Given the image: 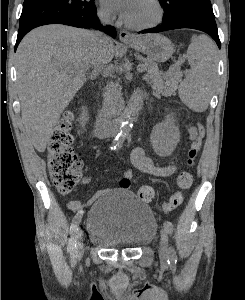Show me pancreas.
<instances>
[{"mask_svg": "<svg viewBox=\"0 0 245 300\" xmlns=\"http://www.w3.org/2000/svg\"><path fill=\"white\" fill-rule=\"evenodd\" d=\"M143 65L147 71L146 80L156 94L170 97L176 93L182 79V73L176 67L162 72L159 71L157 64L149 59L145 60ZM122 107L123 100L119 84H109L104 92V110L109 114H116Z\"/></svg>", "mask_w": 245, "mask_h": 300, "instance_id": "cf45deb5", "label": "pancreas"}]
</instances>
